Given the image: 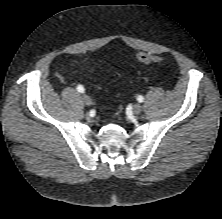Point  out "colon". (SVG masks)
I'll use <instances>...</instances> for the list:
<instances>
[{
	"label": "colon",
	"instance_id": "5ec220e1",
	"mask_svg": "<svg viewBox=\"0 0 222 219\" xmlns=\"http://www.w3.org/2000/svg\"><path fill=\"white\" fill-rule=\"evenodd\" d=\"M137 60L144 64L149 63H161L163 62V58L157 55L149 54V53H139L137 55Z\"/></svg>",
	"mask_w": 222,
	"mask_h": 219
}]
</instances>
